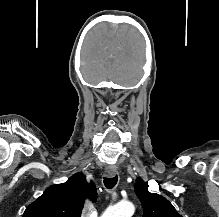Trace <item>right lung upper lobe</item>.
<instances>
[{
  "label": "right lung upper lobe",
  "instance_id": "1",
  "mask_svg": "<svg viewBox=\"0 0 219 217\" xmlns=\"http://www.w3.org/2000/svg\"><path fill=\"white\" fill-rule=\"evenodd\" d=\"M85 198L95 202L96 187L86 182L83 173H76L67 182L47 188L27 207L23 217H80Z\"/></svg>",
  "mask_w": 219,
  "mask_h": 217
}]
</instances>
